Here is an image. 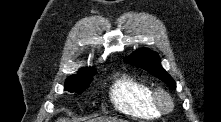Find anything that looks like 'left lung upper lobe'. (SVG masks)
Instances as JSON below:
<instances>
[{
	"label": "left lung upper lobe",
	"mask_w": 221,
	"mask_h": 122,
	"mask_svg": "<svg viewBox=\"0 0 221 122\" xmlns=\"http://www.w3.org/2000/svg\"><path fill=\"white\" fill-rule=\"evenodd\" d=\"M124 61L148 71L153 76L165 82L172 89L176 88V84L172 77L162 68L159 55L156 52L147 48H142L134 52L130 57L125 58Z\"/></svg>",
	"instance_id": "obj_1"
}]
</instances>
